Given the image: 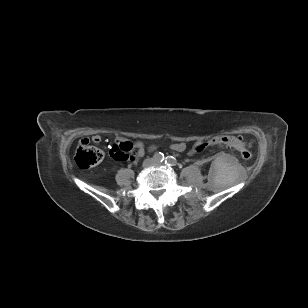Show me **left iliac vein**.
Segmentation results:
<instances>
[{"label":"left iliac vein","mask_w":308,"mask_h":308,"mask_svg":"<svg viewBox=\"0 0 308 308\" xmlns=\"http://www.w3.org/2000/svg\"><path fill=\"white\" fill-rule=\"evenodd\" d=\"M155 166H160L161 165V163L160 162H158V161H154V163H153Z\"/></svg>","instance_id":"obj_1"}]
</instances>
